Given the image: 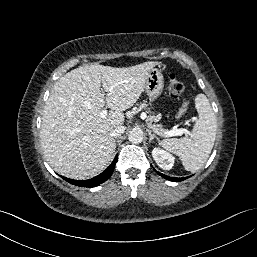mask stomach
Segmentation results:
<instances>
[{"label":"stomach","mask_w":257,"mask_h":257,"mask_svg":"<svg viewBox=\"0 0 257 257\" xmlns=\"http://www.w3.org/2000/svg\"><path fill=\"white\" fill-rule=\"evenodd\" d=\"M164 79L161 69L153 68L149 72V75L145 84V91L150 100L157 99L163 91Z\"/></svg>","instance_id":"stomach-1"}]
</instances>
